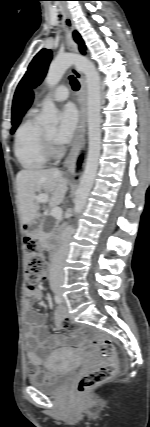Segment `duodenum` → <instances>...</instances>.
I'll use <instances>...</instances> for the list:
<instances>
[{
	"label": "duodenum",
	"instance_id": "410a0bca",
	"mask_svg": "<svg viewBox=\"0 0 150 427\" xmlns=\"http://www.w3.org/2000/svg\"><path fill=\"white\" fill-rule=\"evenodd\" d=\"M55 260H56V255L54 254V255L52 256V263H54V262H55Z\"/></svg>",
	"mask_w": 150,
	"mask_h": 427
}]
</instances>
